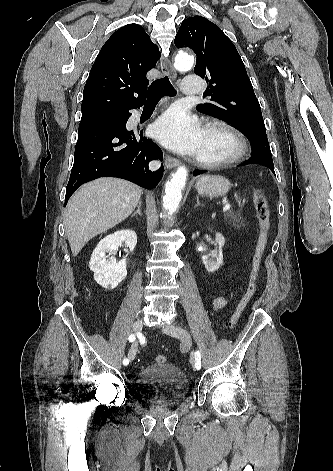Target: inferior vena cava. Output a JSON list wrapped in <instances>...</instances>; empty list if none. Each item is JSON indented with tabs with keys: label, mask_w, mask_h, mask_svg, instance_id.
<instances>
[{
	"label": "inferior vena cava",
	"mask_w": 333,
	"mask_h": 471,
	"mask_svg": "<svg viewBox=\"0 0 333 471\" xmlns=\"http://www.w3.org/2000/svg\"><path fill=\"white\" fill-rule=\"evenodd\" d=\"M159 166H160V163L158 161H152L149 163V168L151 170H156L159 168Z\"/></svg>",
	"instance_id": "1"
}]
</instances>
